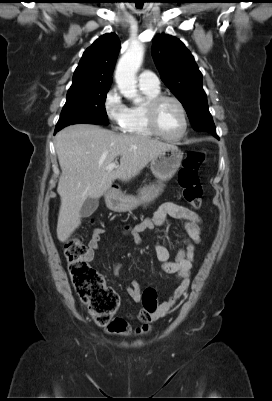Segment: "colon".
<instances>
[{"label":"colon","instance_id":"obj_1","mask_svg":"<svg viewBox=\"0 0 272 401\" xmlns=\"http://www.w3.org/2000/svg\"><path fill=\"white\" fill-rule=\"evenodd\" d=\"M205 160L202 151H190L178 173V184L185 201L193 208L199 209L202 204V187L198 170ZM87 252L82 238L74 236L64 245V254L68 261L72 284L79 299L88 306L95 322L109 326L119 306V297L104 283L102 275L89 266L85 260ZM144 310L153 312L157 308L156 293L148 288L143 292Z\"/></svg>","mask_w":272,"mask_h":401}]
</instances>
